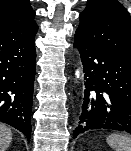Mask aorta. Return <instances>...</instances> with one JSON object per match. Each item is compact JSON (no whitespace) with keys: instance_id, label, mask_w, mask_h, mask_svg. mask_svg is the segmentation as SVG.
<instances>
[{"instance_id":"aorta-1","label":"aorta","mask_w":131,"mask_h":151,"mask_svg":"<svg viewBox=\"0 0 131 151\" xmlns=\"http://www.w3.org/2000/svg\"><path fill=\"white\" fill-rule=\"evenodd\" d=\"M75 75H76L77 78H79V76H80V71H79V70H76Z\"/></svg>"}]
</instances>
